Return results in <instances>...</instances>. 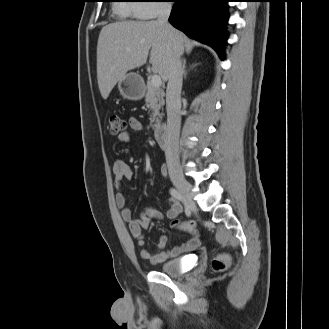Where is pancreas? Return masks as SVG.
<instances>
[{
	"label": "pancreas",
	"mask_w": 329,
	"mask_h": 329,
	"mask_svg": "<svg viewBox=\"0 0 329 329\" xmlns=\"http://www.w3.org/2000/svg\"><path fill=\"white\" fill-rule=\"evenodd\" d=\"M146 90L145 102L151 113L150 122L153 127L158 128L160 126V119L163 115L160 113V109L164 106L165 94L163 89L160 87H154L150 81L147 82Z\"/></svg>",
	"instance_id": "obj_1"
}]
</instances>
